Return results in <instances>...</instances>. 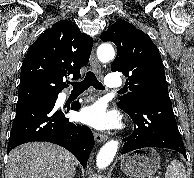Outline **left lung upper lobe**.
<instances>
[{"instance_id":"obj_1","label":"left lung upper lobe","mask_w":194,"mask_h":178,"mask_svg":"<svg viewBox=\"0 0 194 178\" xmlns=\"http://www.w3.org/2000/svg\"><path fill=\"white\" fill-rule=\"evenodd\" d=\"M100 38L117 46L111 71L122 72L127 77L131 92L120 97L121 109L130 110L138 97L169 98L159 50L147 34L119 19Z\"/></svg>"}]
</instances>
